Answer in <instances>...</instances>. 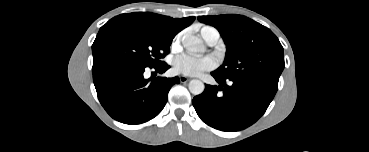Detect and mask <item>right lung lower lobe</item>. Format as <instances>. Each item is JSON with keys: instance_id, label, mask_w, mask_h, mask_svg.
Returning <instances> with one entry per match:
<instances>
[{"instance_id": "98d812e1", "label": "right lung lower lobe", "mask_w": 369, "mask_h": 152, "mask_svg": "<svg viewBox=\"0 0 369 152\" xmlns=\"http://www.w3.org/2000/svg\"><path fill=\"white\" fill-rule=\"evenodd\" d=\"M146 67L116 64L93 73L98 99L115 120L135 125L156 117L164 108L170 88L178 77L145 79ZM160 74L170 68L165 62L149 67Z\"/></svg>"}]
</instances>
